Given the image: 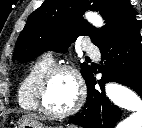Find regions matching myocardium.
<instances>
[{
    "label": "myocardium",
    "instance_id": "obj_1",
    "mask_svg": "<svg viewBox=\"0 0 142 128\" xmlns=\"http://www.w3.org/2000/svg\"><path fill=\"white\" fill-rule=\"evenodd\" d=\"M58 72L70 73L76 83L77 96L74 104L66 111L54 112L45 105V93L51 78ZM86 96L85 84L79 71L70 64H54L50 66L40 77L36 87V103L38 109L45 115L52 118H65L76 113L84 103Z\"/></svg>",
    "mask_w": 142,
    "mask_h": 128
}]
</instances>
